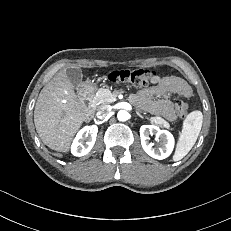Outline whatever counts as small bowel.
Here are the masks:
<instances>
[{
    "instance_id": "small-bowel-1",
    "label": "small bowel",
    "mask_w": 231,
    "mask_h": 231,
    "mask_svg": "<svg viewBox=\"0 0 231 231\" xmlns=\"http://www.w3.org/2000/svg\"><path fill=\"white\" fill-rule=\"evenodd\" d=\"M191 94L192 90L186 81L176 76H165L154 78L152 85L141 90L133 100H141L147 110L153 114L174 120L175 112L171 96L189 98Z\"/></svg>"
}]
</instances>
